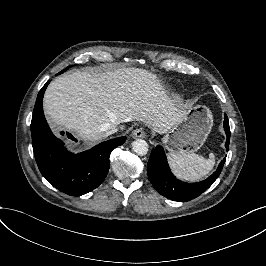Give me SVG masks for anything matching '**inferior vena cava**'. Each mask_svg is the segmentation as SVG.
Masks as SVG:
<instances>
[{
	"label": "inferior vena cava",
	"instance_id": "602c4592",
	"mask_svg": "<svg viewBox=\"0 0 266 266\" xmlns=\"http://www.w3.org/2000/svg\"><path fill=\"white\" fill-rule=\"evenodd\" d=\"M118 131V129L117 128H113V129H110V130H106L105 132V135H106V137L107 136H109V135H111V134H114V133H116Z\"/></svg>",
	"mask_w": 266,
	"mask_h": 266
}]
</instances>
